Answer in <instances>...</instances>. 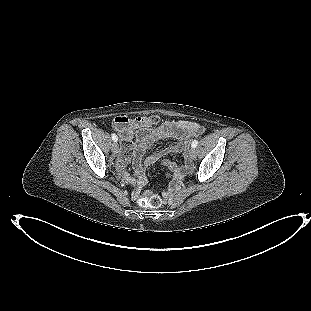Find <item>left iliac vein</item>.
I'll return each mask as SVG.
<instances>
[{"instance_id": "1", "label": "left iliac vein", "mask_w": 311, "mask_h": 311, "mask_svg": "<svg viewBox=\"0 0 311 311\" xmlns=\"http://www.w3.org/2000/svg\"><path fill=\"white\" fill-rule=\"evenodd\" d=\"M188 152H189V156H190L191 159H195L196 158V150H195V148H193V147L190 148Z\"/></svg>"}]
</instances>
